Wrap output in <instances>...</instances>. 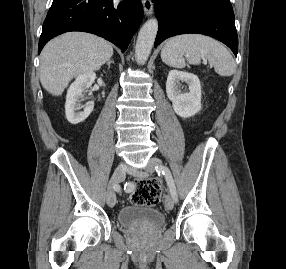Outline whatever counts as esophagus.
I'll return each mask as SVG.
<instances>
[{"mask_svg": "<svg viewBox=\"0 0 286 269\" xmlns=\"http://www.w3.org/2000/svg\"><path fill=\"white\" fill-rule=\"evenodd\" d=\"M143 8H144V13L146 16H149L153 13V2L152 0H143Z\"/></svg>", "mask_w": 286, "mask_h": 269, "instance_id": "1", "label": "esophagus"}]
</instances>
